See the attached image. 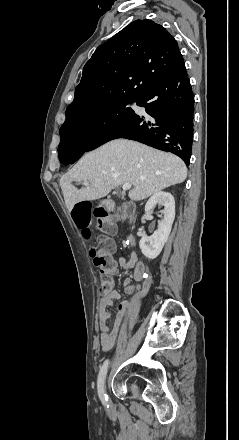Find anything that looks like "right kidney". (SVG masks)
<instances>
[{
	"instance_id": "ca27d5eb",
	"label": "right kidney",
	"mask_w": 239,
	"mask_h": 440,
	"mask_svg": "<svg viewBox=\"0 0 239 440\" xmlns=\"http://www.w3.org/2000/svg\"><path fill=\"white\" fill-rule=\"evenodd\" d=\"M157 204L160 208L164 206V210H161L164 216L159 222V228L152 236H142L139 242L142 254H144L146 258H149V260H155L160 252H162V248L168 240L175 218V200L172 194H169V192H157V194H153L145 206V212H152ZM143 224H145L144 220Z\"/></svg>"
}]
</instances>
